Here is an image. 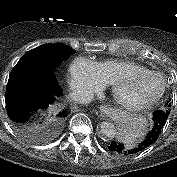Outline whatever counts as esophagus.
<instances>
[{"instance_id": "esophagus-1", "label": "esophagus", "mask_w": 177, "mask_h": 177, "mask_svg": "<svg viewBox=\"0 0 177 177\" xmlns=\"http://www.w3.org/2000/svg\"><path fill=\"white\" fill-rule=\"evenodd\" d=\"M101 115L110 116L113 112V109L107 105H102L99 107Z\"/></svg>"}]
</instances>
